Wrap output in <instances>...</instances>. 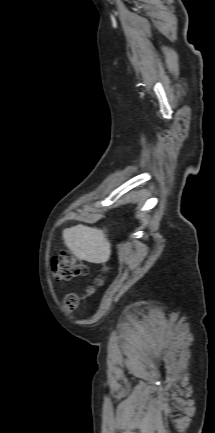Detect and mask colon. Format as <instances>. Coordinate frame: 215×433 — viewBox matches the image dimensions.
I'll use <instances>...</instances> for the list:
<instances>
[{"label":"colon","mask_w":215,"mask_h":433,"mask_svg":"<svg viewBox=\"0 0 215 433\" xmlns=\"http://www.w3.org/2000/svg\"><path fill=\"white\" fill-rule=\"evenodd\" d=\"M87 267L72 253L60 252L52 259V273L56 279L69 280L87 274ZM88 289V294L92 292ZM80 301L76 294H70L65 299V305L69 310H75Z\"/></svg>","instance_id":"colon-1"}]
</instances>
